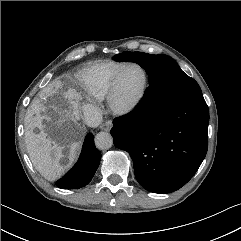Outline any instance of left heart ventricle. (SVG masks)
<instances>
[{
	"instance_id": "obj_1",
	"label": "left heart ventricle",
	"mask_w": 241,
	"mask_h": 241,
	"mask_svg": "<svg viewBox=\"0 0 241 241\" xmlns=\"http://www.w3.org/2000/svg\"><path fill=\"white\" fill-rule=\"evenodd\" d=\"M144 83V74L137 67H129L120 75L116 89V100L125 104L133 100Z\"/></svg>"
}]
</instances>
